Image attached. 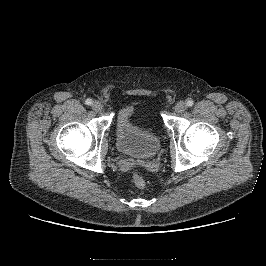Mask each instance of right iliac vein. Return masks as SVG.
I'll use <instances>...</instances> for the list:
<instances>
[{"label":"right iliac vein","instance_id":"obj_1","mask_svg":"<svg viewBox=\"0 0 266 266\" xmlns=\"http://www.w3.org/2000/svg\"><path fill=\"white\" fill-rule=\"evenodd\" d=\"M92 109L96 112H99L102 110V104L99 101H94L92 103Z\"/></svg>","mask_w":266,"mask_h":266}]
</instances>
